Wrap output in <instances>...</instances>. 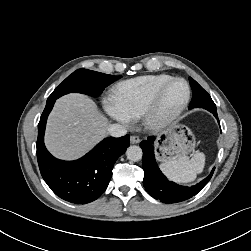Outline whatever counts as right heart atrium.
<instances>
[{"label": "right heart atrium", "instance_id": "1", "mask_svg": "<svg viewBox=\"0 0 251 251\" xmlns=\"http://www.w3.org/2000/svg\"><path fill=\"white\" fill-rule=\"evenodd\" d=\"M104 107L107 113L114 119L118 120L124 125L131 124L133 119L119 107L114 96H107L104 99Z\"/></svg>", "mask_w": 251, "mask_h": 251}]
</instances>
